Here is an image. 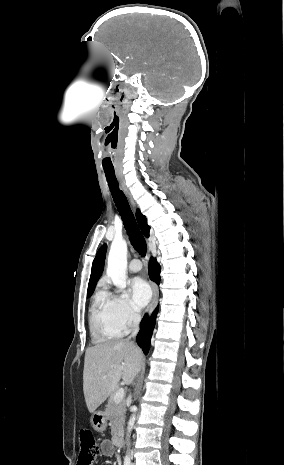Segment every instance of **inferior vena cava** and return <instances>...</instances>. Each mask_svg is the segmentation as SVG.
<instances>
[{"label":"inferior vena cava","mask_w":284,"mask_h":465,"mask_svg":"<svg viewBox=\"0 0 284 465\" xmlns=\"http://www.w3.org/2000/svg\"><path fill=\"white\" fill-rule=\"evenodd\" d=\"M132 321H133V333H132L131 337H136V335H137V333L139 331L141 315H139V313H134V315H132ZM131 337H128L127 341H129V339H131Z\"/></svg>","instance_id":"inferior-vena-cava-1"}]
</instances>
